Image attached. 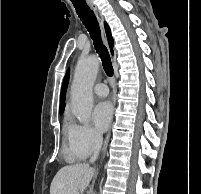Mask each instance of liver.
I'll list each match as a JSON object with an SVG mask.
<instances>
[{
    "label": "liver",
    "instance_id": "liver-1",
    "mask_svg": "<svg viewBox=\"0 0 201 194\" xmlns=\"http://www.w3.org/2000/svg\"><path fill=\"white\" fill-rule=\"evenodd\" d=\"M94 169L87 164H74L62 167L54 176L50 194H79L89 185Z\"/></svg>",
    "mask_w": 201,
    "mask_h": 194
}]
</instances>
